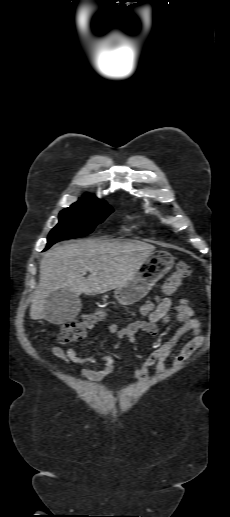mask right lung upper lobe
<instances>
[{
  "label": "right lung upper lobe",
  "instance_id": "cb5924a9",
  "mask_svg": "<svg viewBox=\"0 0 230 517\" xmlns=\"http://www.w3.org/2000/svg\"><path fill=\"white\" fill-rule=\"evenodd\" d=\"M96 199H97V198H92V196H91V195H84L83 197H81V198L79 199V201H78V202H84V201H87V200H96Z\"/></svg>",
  "mask_w": 230,
  "mask_h": 517
}]
</instances>
